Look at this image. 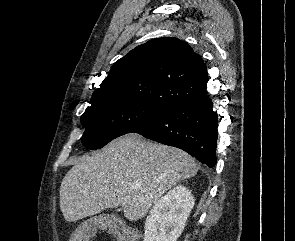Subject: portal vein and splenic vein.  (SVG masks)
Here are the masks:
<instances>
[{
    "label": "portal vein and splenic vein",
    "mask_w": 295,
    "mask_h": 241,
    "mask_svg": "<svg viewBox=\"0 0 295 241\" xmlns=\"http://www.w3.org/2000/svg\"><path fill=\"white\" fill-rule=\"evenodd\" d=\"M132 189H137L138 188V184H134L131 186Z\"/></svg>",
    "instance_id": "obj_1"
}]
</instances>
